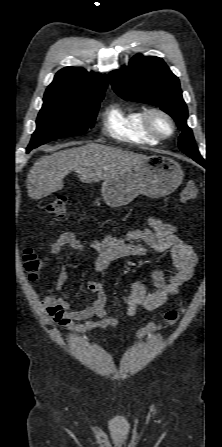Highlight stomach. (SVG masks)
I'll list each match as a JSON object with an SVG mask.
<instances>
[{
  "label": "stomach",
  "instance_id": "1",
  "mask_svg": "<svg viewBox=\"0 0 222 447\" xmlns=\"http://www.w3.org/2000/svg\"><path fill=\"white\" fill-rule=\"evenodd\" d=\"M183 180V170L175 160L152 155L134 168L107 177L101 193L111 207L132 202L139 194L151 198L164 197L174 192Z\"/></svg>",
  "mask_w": 222,
  "mask_h": 447
}]
</instances>
